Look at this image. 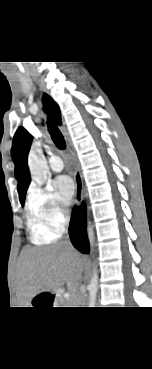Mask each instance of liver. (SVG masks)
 I'll return each mask as SVG.
<instances>
[{"mask_svg": "<svg viewBox=\"0 0 152 369\" xmlns=\"http://www.w3.org/2000/svg\"><path fill=\"white\" fill-rule=\"evenodd\" d=\"M84 267L80 254L62 243L25 249L19 258V293L29 302L37 294L58 289L65 282L76 285Z\"/></svg>", "mask_w": 152, "mask_h": 369, "instance_id": "obj_1", "label": "liver"}]
</instances>
